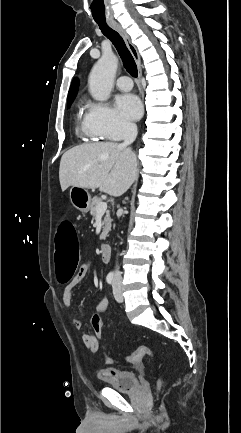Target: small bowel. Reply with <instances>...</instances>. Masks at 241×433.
<instances>
[{
  "label": "small bowel",
  "instance_id": "small-bowel-1",
  "mask_svg": "<svg viewBox=\"0 0 241 433\" xmlns=\"http://www.w3.org/2000/svg\"><path fill=\"white\" fill-rule=\"evenodd\" d=\"M90 268V262H86L84 264H82L78 270V272L75 274V276L72 278V280L66 285V287L63 290L62 293V302L64 304L65 307L69 308L71 306V302H72V297L74 295V292L76 291V289L80 286V284L82 283V281L84 280L85 276L87 275L88 271ZM108 306V302L107 299L103 296H101L96 304V310L97 312L101 313L104 312L107 309ZM73 326L76 329H80L82 327V322L80 319L78 318H74L72 320ZM93 327V326H92ZM101 327H102V320H101ZM82 339L84 341V344L86 345V347L92 351V352H96L99 350V342L98 339L89 333H84L82 335ZM88 342H95L96 346L95 348H90V346L88 345ZM117 370L111 369V372H116Z\"/></svg>",
  "mask_w": 241,
  "mask_h": 433
}]
</instances>
